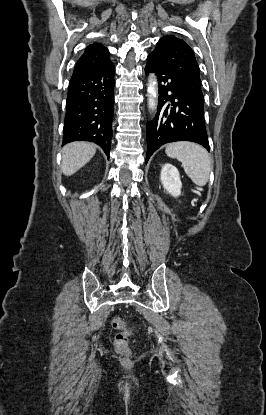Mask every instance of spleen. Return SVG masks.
<instances>
[{
  "label": "spleen",
  "mask_w": 266,
  "mask_h": 415,
  "mask_svg": "<svg viewBox=\"0 0 266 415\" xmlns=\"http://www.w3.org/2000/svg\"><path fill=\"white\" fill-rule=\"evenodd\" d=\"M165 152L168 157L182 163L186 175L194 184H207L212 163L208 152L202 146L192 142H177L169 144Z\"/></svg>",
  "instance_id": "3e777b00"
}]
</instances>
